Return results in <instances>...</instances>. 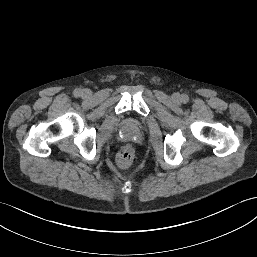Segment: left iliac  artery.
Masks as SVG:
<instances>
[{
  "label": "left iliac artery",
  "instance_id": "left-iliac-artery-1",
  "mask_svg": "<svg viewBox=\"0 0 257 257\" xmlns=\"http://www.w3.org/2000/svg\"><path fill=\"white\" fill-rule=\"evenodd\" d=\"M182 101L184 102V103H187L188 101H189V97H188V95H182Z\"/></svg>",
  "mask_w": 257,
  "mask_h": 257
}]
</instances>
